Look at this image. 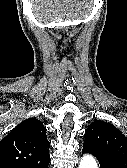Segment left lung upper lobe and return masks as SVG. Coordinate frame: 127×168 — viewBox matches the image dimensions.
<instances>
[{
	"label": "left lung upper lobe",
	"mask_w": 127,
	"mask_h": 168,
	"mask_svg": "<svg viewBox=\"0 0 127 168\" xmlns=\"http://www.w3.org/2000/svg\"><path fill=\"white\" fill-rule=\"evenodd\" d=\"M84 136V148L104 153L117 168H127V138L115 126L95 120Z\"/></svg>",
	"instance_id": "left-lung-upper-lobe-1"
}]
</instances>
